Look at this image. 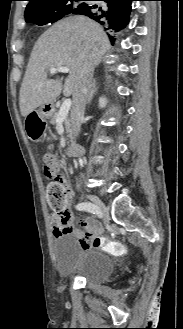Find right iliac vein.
I'll return each instance as SVG.
<instances>
[{
    "label": "right iliac vein",
    "instance_id": "right-iliac-vein-1",
    "mask_svg": "<svg viewBox=\"0 0 183 329\" xmlns=\"http://www.w3.org/2000/svg\"><path fill=\"white\" fill-rule=\"evenodd\" d=\"M84 197H86L87 199H89L90 201H92L94 203V205L98 208V210L101 213V216L103 218H105L106 220L109 217V212L108 209L104 206V204L99 200L98 197H96L95 195H91V194H86V193H82Z\"/></svg>",
    "mask_w": 183,
    "mask_h": 329
}]
</instances>
